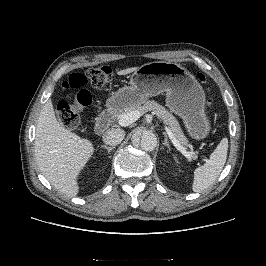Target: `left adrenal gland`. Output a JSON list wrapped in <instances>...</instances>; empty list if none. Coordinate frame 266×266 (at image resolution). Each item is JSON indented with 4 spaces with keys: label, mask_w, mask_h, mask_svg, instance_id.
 Masks as SVG:
<instances>
[{
    "label": "left adrenal gland",
    "mask_w": 266,
    "mask_h": 266,
    "mask_svg": "<svg viewBox=\"0 0 266 266\" xmlns=\"http://www.w3.org/2000/svg\"><path fill=\"white\" fill-rule=\"evenodd\" d=\"M165 136V139H164V142H163V145L166 146L168 148V150L170 151L171 148H170V145H169V142H168V137L166 134H164Z\"/></svg>",
    "instance_id": "left-adrenal-gland-1"
}]
</instances>
